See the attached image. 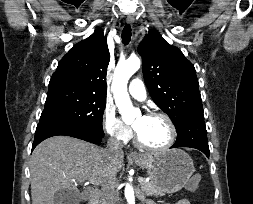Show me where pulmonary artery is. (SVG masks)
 I'll return each instance as SVG.
<instances>
[{"instance_id":"pulmonary-artery-1","label":"pulmonary artery","mask_w":253,"mask_h":204,"mask_svg":"<svg viewBox=\"0 0 253 204\" xmlns=\"http://www.w3.org/2000/svg\"><path fill=\"white\" fill-rule=\"evenodd\" d=\"M129 94L138 101H144L147 97L144 83L139 78H134L128 87Z\"/></svg>"}]
</instances>
